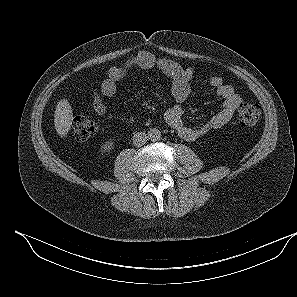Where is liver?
Listing matches in <instances>:
<instances>
[{"instance_id": "liver-1", "label": "liver", "mask_w": 297, "mask_h": 297, "mask_svg": "<svg viewBox=\"0 0 297 297\" xmlns=\"http://www.w3.org/2000/svg\"><path fill=\"white\" fill-rule=\"evenodd\" d=\"M73 110L66 99H61L55 109L54 125L59 136L65 137L71 129Z\"/></svg>"}]
</instances>
